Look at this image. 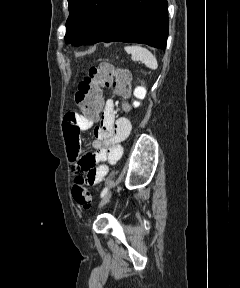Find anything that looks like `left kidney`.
I'll return each instance as SVG.
<instances>
[{
	"label": "left kidney",
	"mask_w": 240,
	"mask_h": 288,
	"mask_svg": "<svg viewBox=\"0 0 240 288\" xmlns=\"http://www.w3.org/2000/svg\"><path fill=\"white\" fill-rule=\"evenodd\" d=\"M146 92H147V91H146V88L140 86V87L135 88V90H134V96H135L136 98H138V99H144L145 96H146ZM139 105H140V103L137 102V101H135V102L133 103V106H134V107H138Z\"/></svg>",
	"instance_id": "1"
}]
</instances>
